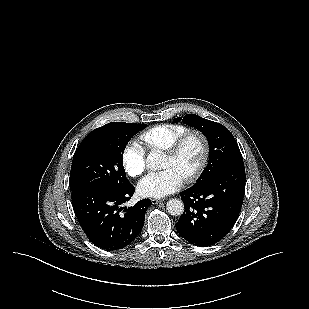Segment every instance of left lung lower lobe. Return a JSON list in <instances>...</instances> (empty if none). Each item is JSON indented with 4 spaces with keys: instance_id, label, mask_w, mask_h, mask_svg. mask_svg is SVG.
<instances>
[{
    "instance_id": "1",
    "label": "left lung lower lobe",
    "mask_w": 309,
    "mask_h": 309,
    "mask_svg": "<svg viewBox=\"0 0 309 309\" xmlns=\"http://www.w3.org/2000/svg\"><path fill=\"white\" fill-rule=\"evenodd\" d=\"M245 178L244 165L229 167L182 191L185 210L175 225L180 236L201 247L222 240L241 211Z\"/></svg>"
}]
</instances>
